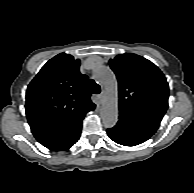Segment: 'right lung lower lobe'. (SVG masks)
Instances as JSON below:
<instances>
[{
  "label": "right lung lower lobe",
  "mask_w": 194,
  "mask_h": 193,
  "mask_svg": "<svg viewBox=\"0 0 194 193\" xmlns=\"http://www.w3.org/2000/svg\"><path fill=\"white\" fill-rule=\"evenodd\" d=\"M84 116L79 117L78 119H75L53 131L34 136L38 142L50 150H67L80 138L82 120Z\"/></svg>",
  "instance_id": "98d812e1"
}]
</instances>
